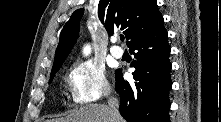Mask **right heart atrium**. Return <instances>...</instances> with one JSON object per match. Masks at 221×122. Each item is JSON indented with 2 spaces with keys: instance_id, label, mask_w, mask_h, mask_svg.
<instances>
[{
  "instance_id": "d8ad5b80",
  "label": "right heart atrium",
  "mask_w": 221,
  "mask_h": 122,
  "mask_svg": "<svg viewBox=\"0 0 221 122\" xmlns=\"http://www.w3.org/2000/svg\"><path fill=\"white\" fill-rule=\"evenodd\" d=\"M68 78L72 100L76 104L95 102L111 90L104 67L90 60L75 63Z\"/></svg>"
}]
</instances>
